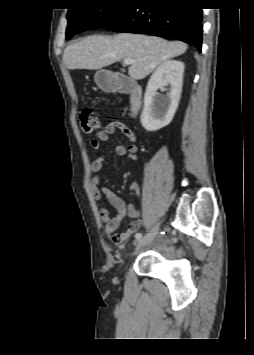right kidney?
Returning <instances> with one entry per match:
<instances>
[{"instance_id": "right-kidney-1", "label": "right kidney", "mask_w": 254, "mask_h": 355, "mask_svg": "<svg viewBox=\"0 0 254 355\" xmlns=\"http://www.w3.org/2000/svg\"><path fill=\"white\" fill-rule=\"evenodd\" d=\"M184 63L178 60H167L154 71L148 81L144 95V109L141 114L142 126L150 132L167 126L179 104ZM170 84V92L160 95L157 90Z\"/></svg>"}]
</instances>
